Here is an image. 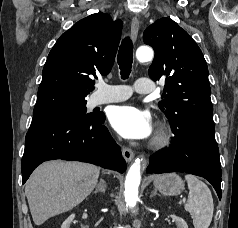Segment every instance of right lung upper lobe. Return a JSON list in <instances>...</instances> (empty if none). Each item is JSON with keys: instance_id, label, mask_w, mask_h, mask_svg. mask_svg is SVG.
I'll return each mask as SVG.
<instances>
[{"instance_id": "right-lung-upper-lobe-1", "label": "right lung upper lobe", "mask_w": 238, "mask_h": 228, "mask_svg": "<svg viewBox=\"0 0 238 228\" xmlns=\"http://www.w3.org/2000/svg\"><path fill=\"white\" fill-rule=\"evenodd\" d=\"M121 30V20L112 21L108 14L96 13L62 34L44 65L33 117L85 102L97 75L110 72Z\"/></svg>"}]
</instances>
